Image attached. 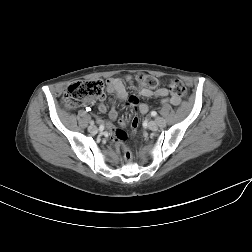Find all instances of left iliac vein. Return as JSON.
Returning a JSON list of instances; mask_svg holds the SVG:
<instances>
[{
    "label": "left iliac vein",
    "instance_id": "obj_1",
    "mask_svg": "<svg viewBox=\"0 0 252 252\" xmlns=\"http://www.w3.org/2000/svg\"><path fill=\"white\" fill-rule=\"evenodd\" d=\"M166 124L163 118H157V121H150L148 123V128L152 131H155L158 126H164Z\"/></svg>",
    "mask_w": 252,
    "mask_h": 252
}]
</instances>
